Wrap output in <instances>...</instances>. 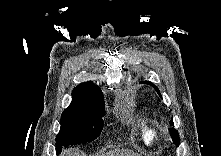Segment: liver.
I'll list each match as a JSON object with an SVG mask.
<instances>
[{"label": "liver", "instance_id": "obj_1", "mask_svg": "<svg viewBox=\"0 0 221 156\" xmlns=\"http://www.w3.org/2000/svg\"><path fill=\"white\" fill-rule=\"evenodd\" d=\"M61 155L62 156H80V153L74 151L73 149H68L64 151ZM102 156H140V155L130 150H113V151H109L103 154Z\"/></svg>", "mask_w": 221, "mask_h": 156}]
</instances>
